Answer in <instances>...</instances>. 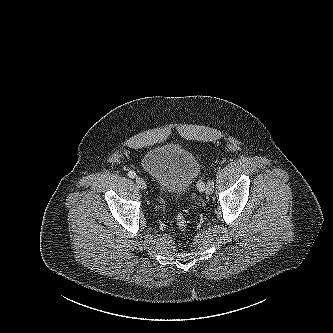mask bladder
I'll list each match as a JSON object with an SVG mask.
<instances>
[{"mask_svg":"<svg viewBox=\"0 0 333 333\" xmlns=\"http://www.w3.org/2000/svg\"><path fill=\"white\" fill-rule=\"evenodd\" d=\"M142 167L158 189L170 196L186 194L200 171V162L190 150L164 145L148 151Z\"/></svg>","mask_w":333,"mask_h":333,"instance_id":"1","label":"bladder"}]
</instances>
